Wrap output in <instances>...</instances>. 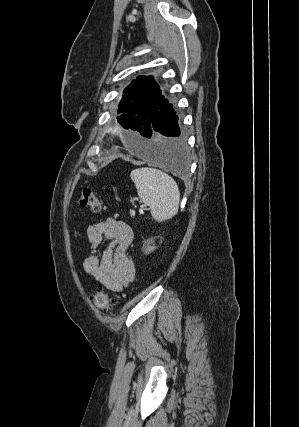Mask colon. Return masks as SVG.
Segmentation results:
<instances>
[{"label":"colon","instance_id":"colon-1","mask_svg":"<svg viewBox=\"0 0 299 427\" xmlns=\"http://www.w3.org/2000/svg\"><path fill=\"white\" fill-rule=\"evenodd\" d=\"M78 206L91 213H98L101 210V202L98 195L90 189H84L81 192L78 198ZM92 300L98 309L106 313L112 312L114 302L104 289H97L92 296Z\"/></svg>","mask_w":299,"mask_h":427}]
</instances>
